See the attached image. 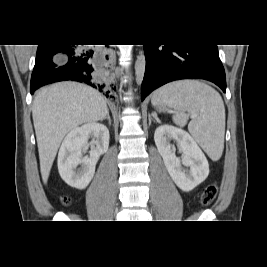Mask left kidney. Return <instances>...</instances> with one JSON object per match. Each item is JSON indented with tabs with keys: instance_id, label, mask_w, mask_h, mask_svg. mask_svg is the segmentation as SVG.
<instances>
[{
	"instance_id": "left-kidney-1",
	"label": "left kidney",
	"mask_w": 267,
	"mask_h": 267,
	"mask_svg": "<svg viewBox=\"0 0 267 267\" xmlns=\"http://www.w3.org/2000/svg\"><path fill=\"white\" fill-rule=\"evenodd\" d=\"M154 140L169 175L181 190L189 192L208 177V161L195 140L186 131L162 125L155 130ZM172 140L183 153L181 158L176 157ZM182 165L189 170H185Z\"/></svg>"
}]
</instances>
